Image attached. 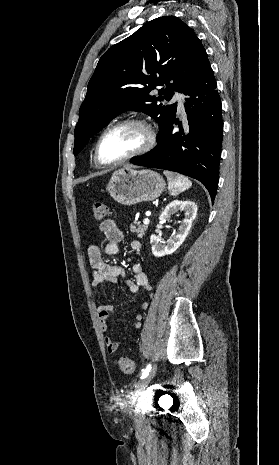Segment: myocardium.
<instances>
[{"label":"myocardium","mask_w":279,"mask_h":465,"mask_svg":"<svg viewBox=\"0 0 279 465\" xmlns=\"http://www.w3.org/2000/svg\"><path fill=\"white\" fill-rule=\"evenodd\" d=\"M125 126H139V127H141L145 131V134H146V139H145L144 144L139 149H137L136 151H134V152H132V153L118 159V160H115V161H112V162L103 161L101 156H100V148H101V143H102L103 139L105 138V136L109 132H111V131H113V130H115L117 128H121V127H125ZM156 140H157L156 131H155L153 125L148 120L143 119V118H131V119L122 120V121H119L117 123H114V124L108 126L101 133V135L99 136V138L97 140L96 146H95V160L101 166H106V167L116 166V165L122 164L124 162H127L129 160H132V159H134L136 157H139V156H142V155L148 153L155 146Z\"/></svg>","instance_id":"f54148a6"}]
</instances>
